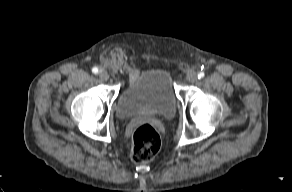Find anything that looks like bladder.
Here are the masks:
<instances>
[{"label":"bladder","mask_w":292,"mask_h":192,"mask_svg":"<svg viewBox=\"0 0 292 192\" xmlns=\"http://www.w3.org/2000/svg\"><path fill=\"white\" fill-rule=\"evenodd\" d=\"M175 106L176 96L168 72L149 69L129 78L118 96L116 113L121 119L135 116L170 118Z\"/></svg>","instance_id":"31cf9c89"}]
</instances>
